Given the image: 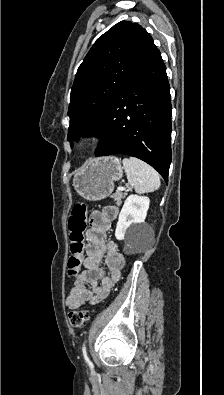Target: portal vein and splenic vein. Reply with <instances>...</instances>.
I'll return each instance as SVG.
<instances>
[{
	"label": "portal vein and splenic vein",
	"instance_id": "obj_1",
	"mask_svg": "<svg viewBox=\"0 0 224 395\" xmlns=\"http://www.w3.org/2000/svg\"><path fill=\"white\" fill-rule=\"evenodd\" d=\"M120 191H125L126 189L124 187L119 188Z\"/></svg>",
	"mask_w": 224,
	"mask_h": 395
}]
</instances>
